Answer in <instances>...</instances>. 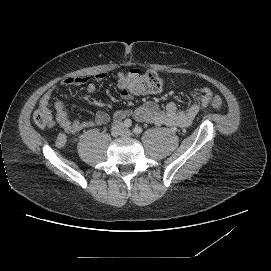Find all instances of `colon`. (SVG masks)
<instances>
[{
    "mask_svg": "<svg viewBox=\"0 0 271 271\" xmlns=\"http://www.w3.org/2000/svg\"><path fill=\"white\" fill-rule=\"evenodd\" d=\"M119 87L131 95L159 94L164 89V81L154 71L141 72L132 69L119 81ZM210 102L218 110L223 108V101L218 96H212ZM33 119L40 128H45L51 123L49 115L40 108L34 113Z\"/></svg>",
    "mask_w": 271,
    "mask_h": 271,
    "instance_id": "colon-1",
    "label": "colon"
}]
</instances>
